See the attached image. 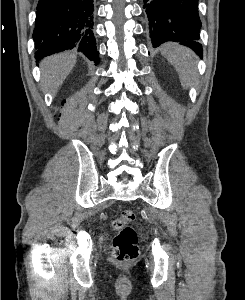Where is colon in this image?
<instances>
[{"label": "colon", "mask_w": 245, "mask_h": 300, "mask_svg": "<svg viewBox=\"0 0 245 300\" xmlns=\"http://www.w3.org/2000/svg\"><path fill=\"white\" fill-rule=\"evenodd\" d=\"M135 219L134 211L123 210L113 221V228L116 235L113 240L114 259L119 263H128L138 257V237L134 228L129 226Z\"/></svg>", "instance_id": "obj_1"}]
</instances>
